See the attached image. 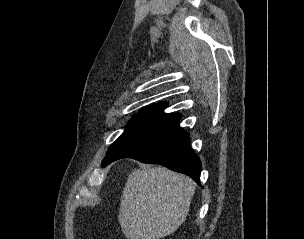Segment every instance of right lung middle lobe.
I'll list each match as a JSON object with an SVG mask.
<instances>
[{
  "mask_svg": "<svg viewBox=\"0 0 304 239\" xmlns=\"http://www.w3.org/2000/svg\"><path fill=\"white\" fill-rule=\"evenodd\" d=\"M169 121L164 118L138 113L129 121L123 134L110 146L107 155L122 148L130 142L165 125Z\"/></svg>",
  "mask_w": 304,
  "mask_h": 239,
  "instance_id": "dd1d6c3e",
  "label": "right lung middle lobe"
}]
</instances>
